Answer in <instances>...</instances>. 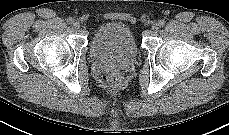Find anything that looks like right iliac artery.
<instances>
[{"label": "right iliac artery", "mask_w": 229, "mask_h": 135, "mask_svg": "<svg viewBox=\"0 0 229 135\" xmlns=\"http://www.w3.org/2000/svg\"><path fill=\"white\" fill-rule=\"evenodd\" d=\"M67 22H68L69 24H72V23L74 22V19H73L72 17H69V18L67 19Z\"/></svg>", "instance_id": "obj_1"}]
</instances>
